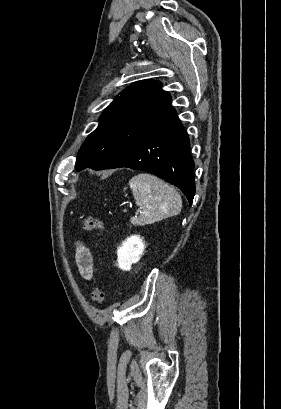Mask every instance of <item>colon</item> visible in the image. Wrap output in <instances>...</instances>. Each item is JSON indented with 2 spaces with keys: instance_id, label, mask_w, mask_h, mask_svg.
Segmentation results:
<instances>
[{
  "instance_id": "5ec220e1",
  "label": "colon",
  "mask_w": 281,
  "mask_h": 409,
  "mask_svg": "<svg viewBox=\"0 0 281 409\" xmlns=\"http://www.w3.org/2000/svg\"><path fill=\"white\" fill-rule=\"evenodd\" d=\"M82 222L85 230L88 232L102 230L104 228L103 224L94 216H85L82 218ZM93 301L97 307L102 306L104 302V290L100 282L96 283L93 292Z\"/></svg>"
}]
</instances>
